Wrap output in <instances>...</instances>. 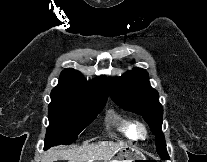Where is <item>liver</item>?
<instances>
[{"mask_svg":"<svg viewBox=\"0 0 207 162\" xmlns=\"http://www.w3.org/2000/svg\"><path fill=\"white\" fill-rule=\"evenodd\" d=\"M124 146V144L113 141H100L92 144H84L72 149H59L58 147H54L46 152L44 162L58 160H68V162L106 161L110 160Z\"/></svg>","mask_w":207,"mask_h":162,"instance_id":"liver-1","label":"liver"}]
</instances>
